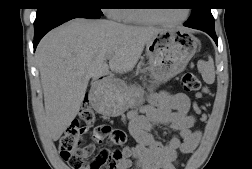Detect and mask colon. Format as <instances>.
I'll return each instance as SVG.
<instances>
[{"label": "colon", "instance_id": "colon-1", "mask_svg": "<svg viewBox=\"0 0 252 169\" xmlns=\"http://www.w3.org/2000/svg\"><path fill=\"white\" fill-rule=\"evenodd\" d=\"M182 87L188 92H198L201 82L192 71H186L181 79ZM201 99L202 95L197 94ZM80 119L84 122L71 124L59 139V151L62 159L66 161L72 169H112L114 158L106 148L94 154V146L83 143V136L87 127L95 122V114L92 108L85 104L79 113ZM95 136L100 140H107L115 144H123L125 137L120 129L108 124L99 125L95 130Z\"/></svg>", "mask_w": 252, "mask_h": 169}]
</instances>
